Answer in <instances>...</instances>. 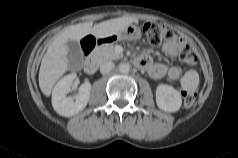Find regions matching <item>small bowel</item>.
Returning a JSON list of instances; mask_svg holds the SVG:
<instances>
[{
	"instance_id": "1",
	"label": "small bowel",
	"mask_w": 238,
	"mask_h": 158,
	"mask_svg": "<svg viewBox=\"0 0 238 158\" xmlns=\"http://www.w3.org/2000/svg\"><path fill=\"white\" fill-rule=\"evenodd\" d=\"M182 43V38L167 41L163 46V51L167 56L177 57L181 50ZM137 61L140 64L139 66L147 70L153 79L168 77L170 80L176 81L181 76V70L179 67L167 66L162 63H154L148 55H141Z\"/></svg>"
}]
</instances>
